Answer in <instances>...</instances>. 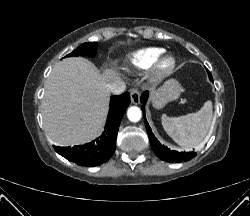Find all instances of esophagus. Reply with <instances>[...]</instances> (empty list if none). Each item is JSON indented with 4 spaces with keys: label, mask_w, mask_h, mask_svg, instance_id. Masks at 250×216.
<instances>
[{
    "label": "esophagus",
    "mask_w": 250,
    "mask_h": 216,
    "mask_svg": "<svg viewBox=\"0 0 250 216\" xmlns=\"http://www.w3.org/2000/svg\"><path fill=\"white\" fill-rule=\"evenodd\" d=\"M140 92L138 89H132L130 91V97H131V102L133 104H139L140 103Z\"/></svg>",
    "instance_id": "obj_1"
}]
</instances>
